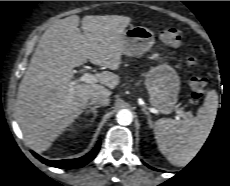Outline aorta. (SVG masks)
<instances>
[{"label":"aorta","mask_w":230,"mask_h":186,"mask_svg":"<svg viewBox=\"0 0 230 186\" xmlns=\"http://www.w3.org/2000/svg\"><path fill=\"white\" fill-rule=\"evenodd\" d=\"M116 120L121 125H129L133 121V115L129 110L122 109L116 114Z\"/></svg>","instance_id":"aorta-1"}]
</instances>
